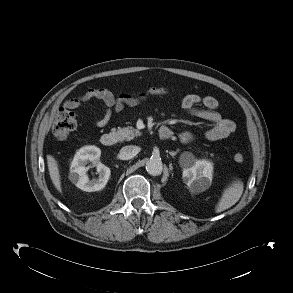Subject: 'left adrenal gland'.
<instances>
[{
	"label": "left adrenal gland",
	"mask_w": 293,
	"mask_h": 293,
	"mask_svg": "<svg viewBox=\"0 0 293 293\" xmlns=\"http://www.w3.org/2000/svg\"><path fill=\"white\" fill-rule=\"evenodd\" d=\"M179 152V149H177L176 151H170L169 154L172 156V157H175L177 155V153Z\"/></svg>",
	"instance_id": "obj_1"
}]
</instances>
